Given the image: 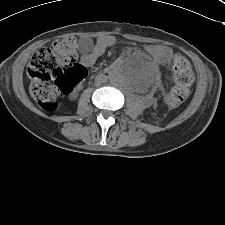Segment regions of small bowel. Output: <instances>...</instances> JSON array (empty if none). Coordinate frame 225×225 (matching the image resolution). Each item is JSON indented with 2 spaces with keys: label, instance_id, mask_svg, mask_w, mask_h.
I'll list each match as a JSON object with an SVG mask.
<instances>
[{
  "label": "small bowel",
  "instance_id": "obj_1",
  "mask_svg": "<svg viewBox=\"0 0 225 225\" xmlns=\"http://www.w3.org/2000/svg\"><path fill=\"white\" fill-rule=\"evenodd\" d=\"M115 42V39L112 36H102L97 40L96 46L90 55H88L85 59V63L92 64L95 62L97 57L101 55L105 48L111 46ZM157 52L158 59H167L170 57V51L165 48H157L155 49Z\"/></svg>",
  "mask_w": 225,
  "mask_h": 225
}]
</instances>
